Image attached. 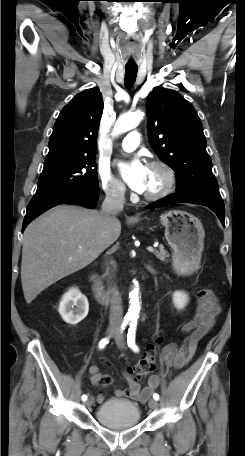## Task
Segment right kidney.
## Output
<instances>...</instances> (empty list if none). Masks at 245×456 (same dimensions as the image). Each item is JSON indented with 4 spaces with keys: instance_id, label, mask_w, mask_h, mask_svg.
I'll return each instance as SVG.
<instances>
[{
    "instance_id": "right-kidney-1",
    "label": "right kidney",
    "mask_w": 245,
    "mask_h": 456,
    "mask_svg": "<svg viewBox=\"0 0 245 456\" xmlns=\"http://www.w3.org/2000/svg\"><path fill=\"white\" fill-rule=\"evenodd\" d=\"M58 311L66 323L76 325L88 314V299L77 288H71L63 295Z\"/></svg>"
}]
</instances>
